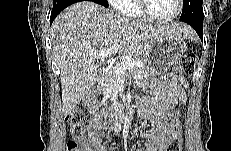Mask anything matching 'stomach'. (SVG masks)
<instances>
[{
	"instance_id": "obj_1",
	"label": "stomach",
	"mask_w": 231,
	"mask_h": 151,
	"mask_svg": "<svg viewBox=\"0 0 231 151\" xmlns=\"http://www.w3.org/2000/svg\"><path fill=\"white\" fill-rule=\"evenodd\" d=\"M186 49L182 36L166 34L151 45L143 54L142 60L149 75H159L170 70Z\"/></svg>"
}]
</instances>
